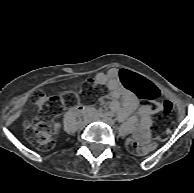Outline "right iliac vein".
<instances>
[{
  "mask_svg": "<svg viewBox=\"0 0 194 193\" xmlns=\"http://www.w3.org/2000/svg\"><path fill=\"white\" fill-rule=\"evenodd\" d=\"M89 122L88 121H83V122H81V123H79V128H84L87 124H88Z\"/></svg>",
  "mask_w": 194,
  "mask_h": 193,
  "instance_id": "1",
  "label": "right iliac vein"
}]
</instances>
